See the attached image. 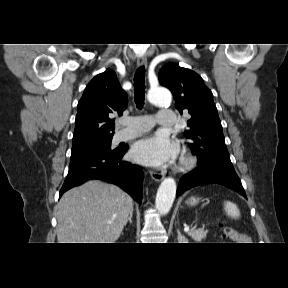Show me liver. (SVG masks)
I'll use <instances>...</instances> for the list:
<instances>
[{"label": "liver", "instance_id": "obj_1", "mask_svg": "<svg viewBox=\"0 0 288 288\" xmlns=\"http://www.w3.org/2000/svg\"><path fill=\"white\" fill-rule=\"evenodd\" d=\"M57 208L58 243H115L133 200L115 185L91 180L64 193Z\"/></svg>", "mask_w": 288, "mask_h": 288}]
</instances>
